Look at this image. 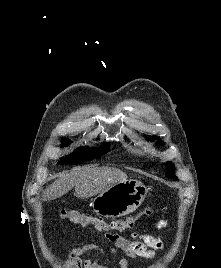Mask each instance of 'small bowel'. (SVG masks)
<instances>
[{
    "mask_svg": "<svg viewBox=\"0 0 221 268\" xmlns=\"http://www.w3.org/2000/svg\"><path fill=\"white\" fill-rule=\"evenodd\" d=\"M166 225L165 221L160 220L157 224L158 228H162ZM105 240L110 242L108 254L111 258V263H101L96 259L87 258L88 255H104L105 251L99 245L93 243H85L82 246L73 248L66 260V264L69 268H113L114 265L117 268H129L130 263L126 258L116 260L119 251H123L129 258H145L153 259L156 252L162 249V242L149 235L138 232H133L130 237H123L117 233L105 232Z\"/></svg>",
    "mask_w": 221,
    "mask_h": 268,
    "instance_id": "1",
    "label": "small bowel"
}]
</instances>
